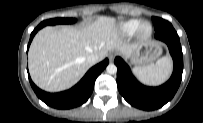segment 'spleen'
<instances>
[{"instance_id":"spleen-1","label":"spleen","mask_w":203,"mask_h":123,"mask_svg":"<svg viewBox=\"0 0 203 123\" xmlns=\"http://www.w3.org/2000/svg\"><path fill=\"white\" fill-rule=\"evenodd\" d=\"M171 70V59L169 57H162L155 64L151 63L134 68L133 72L144 83L158 84L169 76Z\"/></svg>"}]
</instances>
